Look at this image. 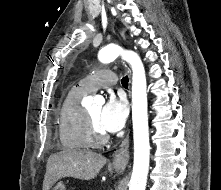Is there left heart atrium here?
I'll list each match as a JSON object with an SVG mask.
<instances>
[{
	"label": "left heart atrium",
	"instance_id": "1",
	"mask_svg": "<svg viewBox=\"0 0 221 190\" xmlns=\"http://www.w3.org/2000/svg\"><path fill=\"white\" fill-rule=\"evenodd\" d=\"M126 117V102L110 97L101 110L99 120L100 128L103 132H118L123 128Z\"/></svg>",
	"mask_w": 221,
	"mask_h": 190
}]
</instances>
